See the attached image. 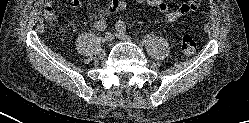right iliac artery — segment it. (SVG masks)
Instances as JSON below:
<instances>
[{"label": "right iliac artery", "mask_w": 249, "mask_h": 123, "mask_svg": "<svg viewBox=\"0 0 249 123\" xmlns=\"http://www.w3.org/2000/svg\"><path fill=\"white\" fill-rule=\"evenodd\" d=\"M95 27L98 30L103 31L106 29V22L103 19H101L95 23Z\"/></svg>", "instance_id": "1"}]
</instances>
